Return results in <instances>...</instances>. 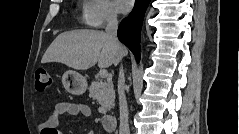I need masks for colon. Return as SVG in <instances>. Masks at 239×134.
<instances>
[{"instance_id":"obj_1","label":"colon","mask_w":239,"mask_h":134,"mask_svg":"<svg viewBox=\"0 0 239 134\" xmlns=\"http://www.w3.org/2000/svg\"><path fill=\"white\" fill-rule=\"evenodd\" d=\"M52 85V78L46 70H38L35 75V86L37 91L44 92Z\"/></svg>"}]
</instances>
